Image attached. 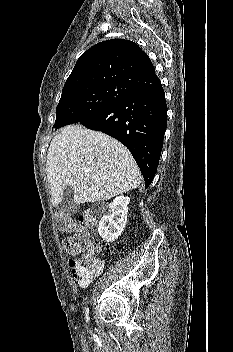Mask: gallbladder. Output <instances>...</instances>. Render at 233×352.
Listing matches in <instances>:
<instances>
[{"mask_svg": "<svg viewBox=\"0 0 233 352\" xmlns=\"http://www.w3.org/2000/svg\"><path fill=\"white\" fill-rule=\"evenodd\" d=\"M60 206L62 211L69 215L78 211V206L74 201V190L71 186H65Z\"/></svg>", "mask_w": 233, "mask_h": 352, "instance_id": "obj_1", "label": "gallbladder"}]
</instances>
